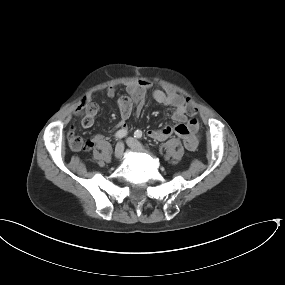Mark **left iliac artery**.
Returning a JSON list of instances; mask_svg holds the SVG:
<instances>
[{
  "mask_svg": "<svg viewBox=\"0 0 285 285\" xmlns=\"http://www.w3.org/2000/svg\"><path fill=\"white\" fill-rule=\"evenodd\" d=\"M134 137H136L138 139L142 138V131L141 130H136L134 132Z\"/></svg>",
  "mask_w": 285,
  "mask_h": 285,
  "instance_id": "left-iliac-artery-1",
  "label": "left iliac artery"
}]
</instances>
